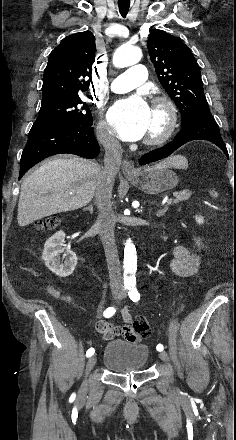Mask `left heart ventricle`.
Instances as JSON below:
<instances>
[{
	"label": "left heart ventricle",
	"mask_w": 236,
	"mask_h": 440,
	"mask_svg": "<svg viewBox=\"0 0 236 440\" xmlns=\"http://www.w3.org/2000/svg\"><path fill=\"white\" fill-rule=\"evenodd\" d=\"M164 123V116L160 110H152L151 122L146 135L157 133L161 130Z\"/></svg>",
	"instance_id": "left-heart-ventricle-1"
}]
</instances>
